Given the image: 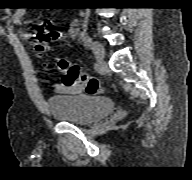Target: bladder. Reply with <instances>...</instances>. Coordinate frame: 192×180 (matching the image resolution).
<instances>
[{
  "mask_svg": "<svg viewBox=\"0 0 192 180\" xmlns=\"http://www.w3.org/2000/svg\"><path fill=\"white\" fill-rule=\"evenodd\" d=\"M48 107L54 120L79 126L89 125L114 111L110 99L87 94L52 96Z\"/></svg>",
  "mask_w": 192,
  "mask_h": 180,
  "instance_id": "1",
  "label": "bladder"
}]
</instances>
